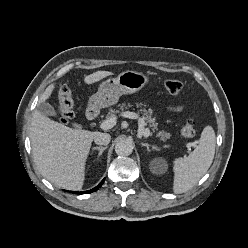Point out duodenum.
I'll list each match as a JSON object with an SVG mask.
<instances>
[{
	"label": "duodenum",
	"instance_id": "obj_1",
	"mask_svg": "<svg viewBox=\"0 0 248 248\" xmlns=\"http://www.w3.org/2000/svg\"><path fill=\"white\" fill-rule=\"evenodd\" d=\"M96 116H97V112L95 109L90 108L86 111L85 117L87 120L92 121L96 118Z\"/></svg>",
	"mask_w": 248,
	"mask_h": 248
}]
</instances>
